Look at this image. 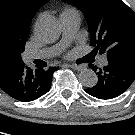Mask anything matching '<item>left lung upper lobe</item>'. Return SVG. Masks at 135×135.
<instances>
[{"mask_svg":"<svg viewBox=\"0 0 135 135\" xmlns=\"http://www.w3.org/2000/svg\"><path fill=\"white\" fill-rule=\"evenodd\" d=\"M83 12L92 52L135 68V13L122 0H63Z\"/></svg>","mask_w":135,"mask_h":135,"instance_id":"5c2ea615","label":"left lung upper lobe"}]
</instances>
